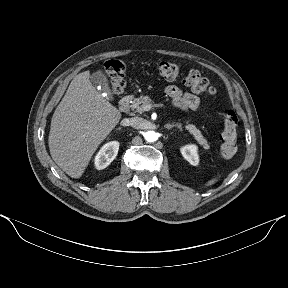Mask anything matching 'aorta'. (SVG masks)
Instances as JSON below:
<instances>
[{
	"mask_svg": "<svg viewBox=\"0 0 288 288\" xmlns=\"http://www.w3.org/2000/svg\"><path fill=\"white\" fill-rule=\"evenodd\" d=\"M144 138L147 142H155L158 139V135L154 131H148L145 133Z\"/></svg>",
	"mask_w": 288,
	"mask_h": 288,
	"instance_id": "762f6f07",
	"label": "aorta"
}]
</instances>
